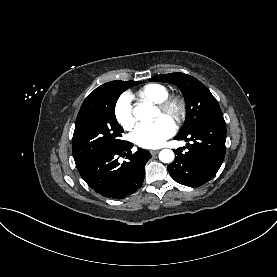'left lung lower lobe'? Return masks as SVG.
Returning <instances> with one entry per match:
<instances>
[{
    "label": "left lung lower lobe",
    "mask_w": 277,
    "mask_h": 277,
    "mask_svg": "<svg viewBox=\"0 0 277 277\" xmlns=\"http://www.w3.org/2000/svg\"><path fill=\"white\" fill-rule=\"evenodd\" d=\"M174 139L188 142V150L183 152V147L175 151L177 156L168 166L171 177L190 187H197L211 180L225 156L226 123L223 114L218 113L204 119L188 134Z\"/></svg>",
    "instance_id": "obj_1"
}]
</instances>
